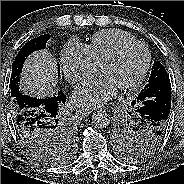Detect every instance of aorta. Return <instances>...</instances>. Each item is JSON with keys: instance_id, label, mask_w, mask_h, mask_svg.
<instances>
[{"instance_id": "obj_1", "label": "aorta", "mask_w": 184, "mask_h": 184, "mask_svg": "<svg viewBox=\"0 0 184 184\" xmlns=\"http://www.w3.org/2000/svg\"><path fill=\"white\" fill-rule=\"evenodd\" d=\"M92 123L97 128H105L110 123V115L104 110L94 112L92 115Z\"/></svg>"}]
</instances>
